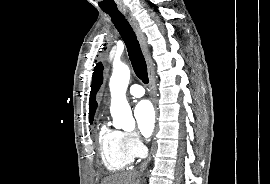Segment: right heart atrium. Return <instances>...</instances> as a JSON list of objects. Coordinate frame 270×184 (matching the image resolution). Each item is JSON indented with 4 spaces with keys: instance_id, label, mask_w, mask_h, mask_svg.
<instances>
[{
    "instance_id": "1",
    "label": "right heart atrium",
    "mask_w": 270,
    "mask_h": 184,
    "mask_svg": "<svg viewBox=\"0 0 270 184\" xmlns=\"http://www.w3.org/2000/svg\"><path fill=\"white\" fill-rule=\"evenodd\" d=\"M124 138L128 149L133 153L135 157L141 156L143 154L144 146L134 133L125 132Z\"/></svg>"
}]
</instances>
